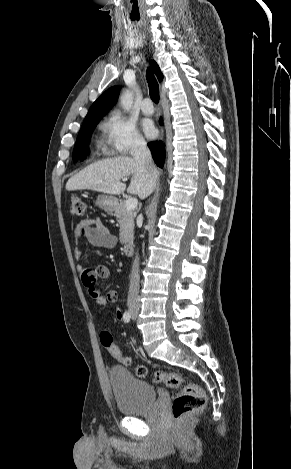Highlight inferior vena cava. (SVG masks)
<instances>
[{"instance_id":"1","label":"inferior vena cava","mask_w":291,"mask_h":469,"mask_svg":"<svg viewBox=\"0 0 291 469\" xmlns=\"http://www.w3.org/2000/svg\"><path fill=\"white\" fill-rule=\"evenodd\" d=\"M131 154L133 158L139 163L146 165L148 168L153 167L150 150L148 149L146 142L143 138L136 137L134 139V142L131 148ZM139 281H140V276H139V268H138V257L136 256L134 260L133 268H132L130 286H129V291H128L127 301H128L129 307L139 306V296H138Z\"/></svg>"}]
</instances>
